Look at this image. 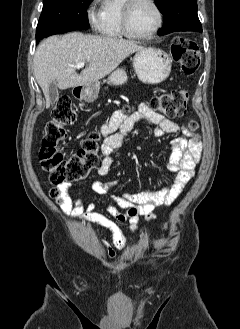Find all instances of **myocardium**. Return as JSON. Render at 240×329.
Here are the masks:
<instances>
[{"instance_id": "1", "label": "myocardium", "mask_w": 240, "mask_h": 329, "mask_svg": "<svg viewBox=\"0 0 240 329\" xmlns=\"http://www.w3.org/2000/svg\"><path fill=\"white\" fill-rule=\"evenodd\" d=\"M139 0H125V3L122 8V15H121V26H122V31L123 33L133 39H149L152 38L154 35L157 34V32L161 29L163 22H164V14L156 0H147L155 9L157 13V24L155 27L148 33L146 34H139L135 33L131 30L130 28V19H131V13L132 9L135 6V4Z\"/></svg>"}]
</instances>
